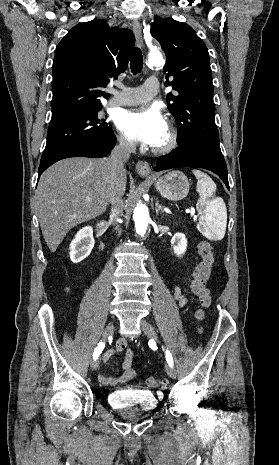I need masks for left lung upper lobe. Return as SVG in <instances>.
<instances>
[{
    "mask_svg": "<svg viewBox=\"0 0 279 465\" xmlns=\"http://www.w3.org/2000/svg\"><path fill=\"white\" fill-rule=\"evenodd\" d=\"M151 35L167 57L165 84L177 92L168 93L166 100L178 123V145H194L223 156L214 120L212 71L205 43L192 27L172 18L152 23Z\"/></svg>",
    "mask_w": 279,
    "mask_h": 465,
    "instance_id": "1",
    "label": "left lung upper lobe"
}]
</instances>
